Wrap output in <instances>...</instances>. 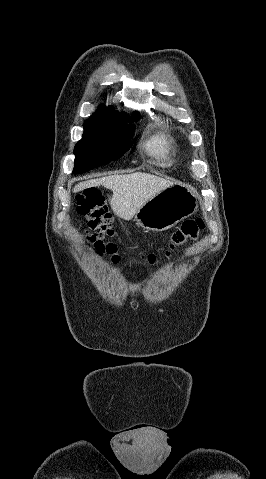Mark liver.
<instances>
[{"mask_svg": "<svg viewBox=\"0 0 266 479\" xmlns=\"http://www.w3.org/2000/svg\"><path fill=\"white\" fill-rule=\"evenodd\" d=\"M174 184L173 181L149 173L135 172L80 182L74 187L73 192L104 186L113 192L110 206L114 214L130 220L148 200Z\"/></svg>", "mask_w": 266, "mask_h": 479, "instance_id": "liver-1", "label": "liver"}]
</instances>
